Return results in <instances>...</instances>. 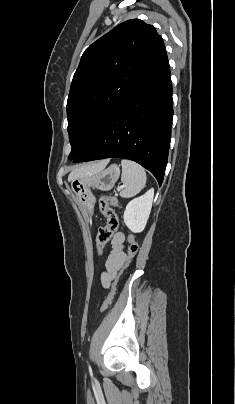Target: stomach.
<instances>
[{
  "label": "stomach",
  "mask_w": 235,
  "mask_h": 404,
  "mask_svg": "<svg viewBox=\"0 0 235 404\" xmlns=\"http://www.w3.org/2000/svg\"><path fill=\"white\" fill-rule=\"evenodd\" d=\"M119 175V166L117 164H111L95 174L76 178L71 181L72 191L85 214H91L94 208L95 197L91 192V188L109 191L113 188Z\"/></svg>",
  "instance_id": "obj_1"
}]
</instances>
